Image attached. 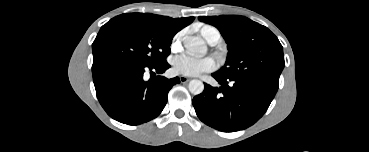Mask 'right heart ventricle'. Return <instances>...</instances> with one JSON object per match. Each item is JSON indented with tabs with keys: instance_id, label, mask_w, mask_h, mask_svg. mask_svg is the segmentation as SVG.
<instances>
[{
	"instance_id": "obj_1",
	"label": "right heart ventricle",
	"mask_w": 369,
	"mask_h": 152,
	"mask_svg": "<svg viewBox=\"0 0 369 152\" xmlns=\"http://www.w3.org/2000/svg\"><path fill=\"white\" fill-rule=\"evenodd\" d=\"M208 27H210V26H204V27H202V29H201V35L204 37V31H205V29H207Z\"/></svg>"
}]
</instances>
